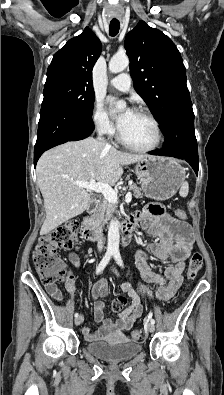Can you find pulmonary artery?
<instances>
[{
  "label": "pulmonary artery",
  "instance_id": "e3ab8cb5",
  "mask_svg": "<svg viewBox=\"0 0 224 395\" xmlns=\"http://www.w3.org/2000/svg\"><path fill=\"white\" fill-rule=\"evenodd\" d=\"M110 84L122 92H128L131 88V78L127 73H122L112 78Z\"/></svg>",
  "mask_w": 224,
  "mask_h": 395
}]
</instances>
